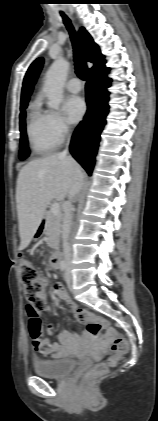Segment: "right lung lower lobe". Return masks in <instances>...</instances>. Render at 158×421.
I'll return each instance as SVG.
<instances>
[{"instance_id":"98d812e1","label":"right lung lower lobe","mask_w":158,"mask_h":421,"mask_svg":"<svg viewBox=\"0 0 158 421\" xmlns=\"http://www.w3.org/2000/svg\"><path fill=\"white\" fill-rule=\"evenodd\" d=\"M105 64V63H104ZM109 68L105 65L90 72L86 83V102L88 110L83 121L75 129L70 151L73 157L91 175L95 156L100 141V133L106 124L108 114L109 92L111 79L107 77Z\"/></svg>"}]
</instances>
